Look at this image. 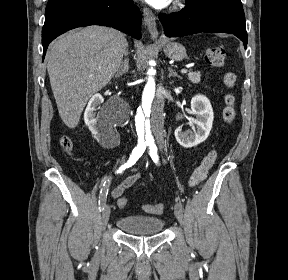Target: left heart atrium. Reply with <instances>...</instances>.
<instances>
[{
    "label": "left heart atrium",
    "mask_w": 288,
    "mask_h": 280,
    "mask_svg": "<svg viewBox=\"0 0 288 280\" xmlns=\"http://www.w3.org/2000/svg\"><path fill=\"white\" fill-rule=\"evenodd\" d=\"M145 1L156 8H164L171 2V0H145Z\"/></svg>",
    "instance_id": "1"
}]
</instances>
